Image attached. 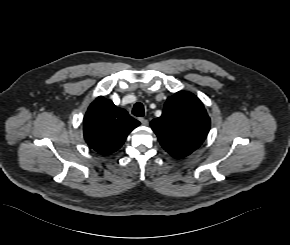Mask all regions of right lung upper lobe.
I'll list each match as a JSON object with an SVG mask.
<instances>
[{
    "label": "right lung upper lobe",
    "mask_w": 290,
    "mask_h": 245,
    "mask_svg": "<svg viewBox=\"0 0 290 245\" xmlns=\"http://www.w3.org/2000/svg\"><path fill=\"white\" fill-rule=\"evenodd\" d=\"M139 125L140 122L129 116L126 110L100 96L85 114L84 138L92 149L109 155L118 150L128 134Z\"/></svg>",
    "instance_id": "1"
}]
</instances>
